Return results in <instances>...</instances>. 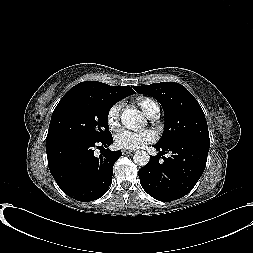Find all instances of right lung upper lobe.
<instances>
[{
    "label": "right lung upper lobe",
    "instance_id": "obj_1",
    "mask_svg": "<svg viewBox=\"0 0 253 253\" xmlns=\"http://www.w3.org/2000/svg\"><path fill=\"white\" fill-rule=\"evenodd\" d=\"M69 91L88 92L112 99L116 102L135 93L129 86H110L98 81L81 82L72 87Z\"/></svg>",
    "mask_w": 253,
    "mask_h": 253
}]
</instances>
